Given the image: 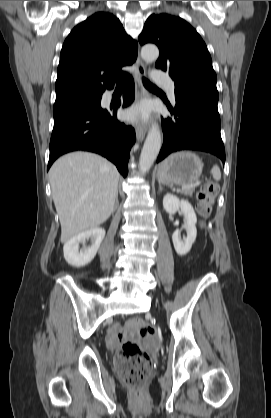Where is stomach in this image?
Instances as JSON below:
<instances>
[{"mask_svg":"<svg viewBox=\"0 0 271 418\" xmlns=\"http://www.w3.org/2000/svg\"><path fill=\"white\" fill-rule=\"evenodd\" d=\"M203 163L194 153L181 151L167 157L157 169L159 183L189 185L198 180Z\"/></svg>","mask_w":271,"mask_h":418,"instance_id":"0dacf381","label":"stomach"}]
</instances>
